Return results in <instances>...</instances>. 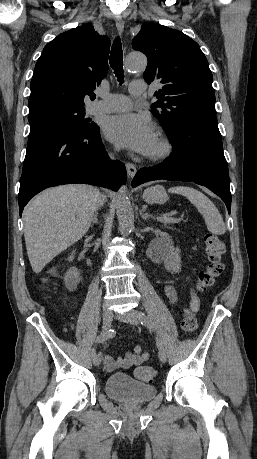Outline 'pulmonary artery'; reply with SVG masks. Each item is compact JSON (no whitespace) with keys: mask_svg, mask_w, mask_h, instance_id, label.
I'll list each match as a JSON object with an SVG mask.
<instances>
[{"mask_svg":"<svg viewBox=\"0 0 257 459\" xmlns=\"http://www.w3.org/2000/svg\"><path fill=\"white\" fill-rule=\"evenodd\" d=\"M146 90L145 83L142 80H134L129 86V93L133 97L141 96ZM131 106V99L128 96L120 94L103 95L102 100L95 101L89 105L88 111L94 113H112L120 112Z\"/></svg>","mask_w":257,"mask_h":459,"instance_id":"pulmonary-artery-1","label":"pulmonary artery"}]
</instances>
